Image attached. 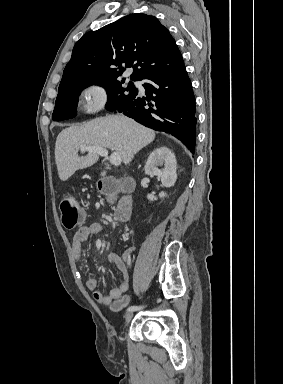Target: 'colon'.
Segmentation results:
<instances>
[{
  "label": "colon",
  "instance_id": "5ec220e1",
  "mask_svg": "<svg viewBox=\"0 0 283 384\" xmlns=\"http://www.w3.org/2000/svg\"><path fill=\"white\" fill-rule=\"evenodd\" d=\"M98 189L100 192L108 196H113L118 191V185L111 179L99 181ZM61 220L66 229H74L81 224L85 219V214L80 208L77 200L73 196H66L62 199L60 204ZM129 297L122 296L120 299L114 301L111 305L112 310L119 311L127 306Z\"/></svg>",
  "mask_w": 283,
  "mask_h": 384
}]
</instances>
